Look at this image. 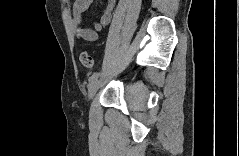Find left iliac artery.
I'll list each match as a JSON object with an SVG mask.
<instances>
[{
  "label": "left iliac artery",
  "mask_w": 239,
  "mask_h": 156,
  "mask_svg": "<svg viewBox=\"0 0 239 156\" xmlns=\"http://www.w3.org/2000/svg\"><path fill=\"white\" fill-rule=\"evenodd\" d=\"M100 75V72H94L89 78V85H91Z\"/></svg>",
  "instance_id": "left-iliac-artery-1"
}]
</instances>
